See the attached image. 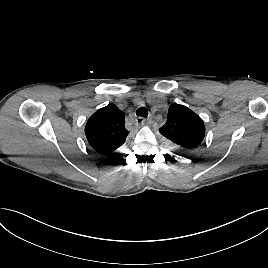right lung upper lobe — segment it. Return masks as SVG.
<instances>
[{
    "label": "right lung upper lobe",
    "mask_w": 268,
    "mask_h": 268,
    "mask_svg": "<svg viewBox=\"0 0 268 268\" xmlns=\"http://www.w3.org/2000/svg\"><path fill=\"white\" fill-rule=\"evenodd\" d=\"M128 134L125 116L114 104L97 110L85 127V135L90 146L105 155L113 154L124 144Z\"/></svg>",
    "instance_id": "right-lung-upper-lobe-1"
}]
</instances>
